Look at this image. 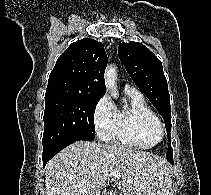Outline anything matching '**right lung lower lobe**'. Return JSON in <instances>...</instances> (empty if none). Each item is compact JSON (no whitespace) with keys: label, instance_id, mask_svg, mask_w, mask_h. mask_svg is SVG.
<instances>
[{"label":"right lung lower lobe","instance_id":"right-lung-lower-lobe-1","mask_svg":"<svg viewBox=\"0 0 211 195\" xmlns=\"http://www.w3.org/2000/svg\"><path fill=\"white\" fill-rule=\"evenodd\" d=\"M79 141V139H69V140H64L61 142H58L56 144L50 145L46 148H43V153H42V159H43V165L45 164L55 155L57 154L60 150L63 148L67 147L68 145Z\"/></svg>","mask_w":211,"mask_h":195}]
</instances>
